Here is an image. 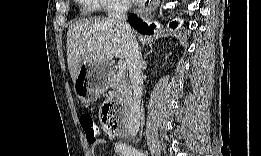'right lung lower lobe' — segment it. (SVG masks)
<instances>
[{
	"instance_id": "1",
	"label": "right lung lower lobe",
	"mask_w": 261,
	"mask_h": 156,
	"mask_svg": "<svg viewBox=\"0 0 261 156\" xmlns=\"http://www.w3.org/2000/svg\"><path fill=\"white\" fill-rule=\"evenodd\" d=\"M129 23L131 24V26H133L139 33L142 34H151L153 29H154V25H150L148 27V25L144 22H142V19L138 18L136 15H130L129 18ZM177 23L176 22H172L170 23V27H176Z\"/></svg>"
}]
</instances>
